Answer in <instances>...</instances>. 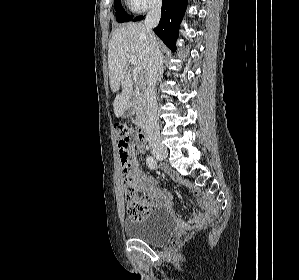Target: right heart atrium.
<instances>
[{"instance_id":"d8ad5b80","label":"right heart atrium","mask_w":299,"mask_h":280,"mask_svg":"<svg viewBox=\"0 0 299 280\" xmlns=\"http://www.w3.org/2000/svg\"><path fill=\"white\" fill-rule=\"evenodd\" d=\"M135 12H144L160 4L161 0H127Z\"/></svg>"}]
</instances>
